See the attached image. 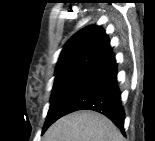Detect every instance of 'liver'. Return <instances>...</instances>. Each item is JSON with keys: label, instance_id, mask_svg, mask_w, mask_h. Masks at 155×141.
<instances>
[{"label": "liver", "instance_id": "obj_1", "mask_svg": "<svg viewBox=\"0 0 155 141\" xmlns=\"http://www.w3.org/2000/svg\"><path fill=\"white\" fill-rule=\"evenodd\" d=\"M45 141H124L121 132L104 115L90 110L71 113L56 121Z\"/></svg>", "mask_w": 155, "mask_h": 141}]
</instances>
